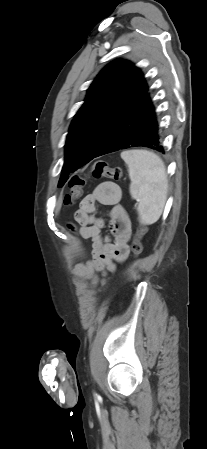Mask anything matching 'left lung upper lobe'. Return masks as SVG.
I'll use <instances>...</instances> for the list:
<instances>
[{"label":"left lung upper lobe","instance_id":"obj_1","mask_svg":"<svg viewBox=\"0 0 207 449\" xmlns=\"http://www.w3.org/2000/svg\"><path fill=\"white\" fill-rule=\"evenodd\" d=\"M147 92L143 74L127 61H114L99 73L72 121L58 187L66 183L72 172L94 158L112 129Z\"/></svg>","mask_w":207,"mask_h":449}]
</instances>
